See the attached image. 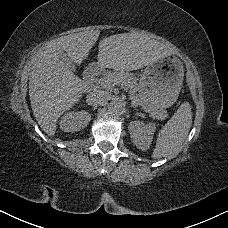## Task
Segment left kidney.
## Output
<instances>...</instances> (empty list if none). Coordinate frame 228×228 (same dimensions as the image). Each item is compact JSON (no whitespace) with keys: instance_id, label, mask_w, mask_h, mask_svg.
Here are the masks:
<instances>
[{"instance_id":"1","label":"left kidney","mask_w":228,"mask_h":228,"mask_svg":"<svg viewBox=\"0 0 228 228\" xmlns=\"http://www.w3.org/2000/svg\"><path fill=\"white\" fill-rule=\"evenodd\" d=\"M154 126L152 124L145 125L141 121L129 123V134L132 143L141 151H145L151 145Z\"/></svg>"}]
</instances>
